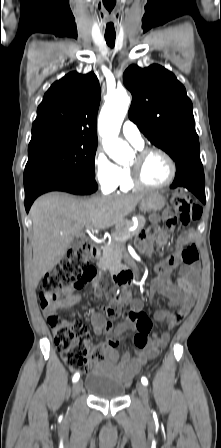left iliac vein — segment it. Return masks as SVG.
I'll use <instances>...</instances> for the list:
<instances>
[{
    "instance_id": "1",
    "label": "left iliac vein",
    "mask_w": 221,
    "mask_h": 448,
    "mask_svg": "<svg viewBox=\"0 0 221 448\" xmlns=\"http://www.w3.org/2000/svg\"><path fill=\"white\" fill-rule=\"evenodd\" d=\"M137 391L140 395V397L142 398L144 407L146 410H149V397H148V390L146 388V386L140 382L137 383L136 385Z\"/></svg>"
}]
</instances>
